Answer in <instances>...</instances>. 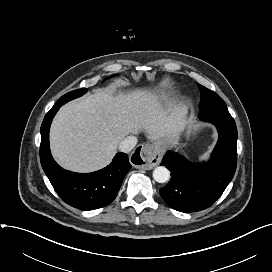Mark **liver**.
<instances>
[{"label": "liver", "instance_id": "obj_1", "mask_svg": "<svg viewBox=\"0 0 272 272\" xmlns=\"http://www.w3.org/2000/svg\"><path fill=\"white\" fill-rule=\"evenodd\" d=\"M185 108L163 109L156 94L99 90L59 110L50 129L54 158L65 169L93 172L107 166L129 134L160 140L179 131Z\"/></svg>", "mask_w": 272, "mask_h": 272}]
</instances>
